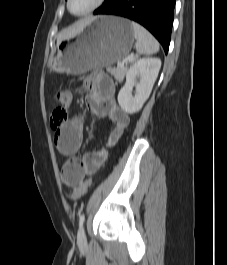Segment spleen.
Returning a JSON list of instances; mask_svg holds the SVG:
<instances>
[{
    "mask_svg": "<svg viewBox=\"0 0 227 265\" xmlns=\"http://www.w3.org/2000/svg\"><path fill=\"white\" fill-rule=\"evenodd\" d=\"M134 38L136 39V51L143 55H152L159 51L158 41L141 25L136 22L131 23Z\"/></svg>",
    "mask_w": 227,
    "mask_h": 265,
    "instance_id": "spleen-1",
    "label": "spleen"
}]
</instances>
